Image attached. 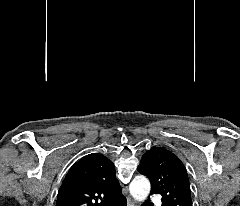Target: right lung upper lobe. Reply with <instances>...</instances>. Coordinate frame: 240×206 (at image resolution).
Masks as SVG:
<instances>
[{"label":"right lung upper lobe","instance_id":"right-lung-upper-lobe-1","mask_svg":"<svg viewBox=\"0 0 240 206\" xmlns=\"http://www.w3.org/2000/svg\"><path fill=\"white\" fill-rule=\"evenodd\" d=\"M119 194L114 164L102 154L91 153L70 168L56 206H105Z\"/></svg>","mask_w":240,"mask_h":206}]
</instances>
